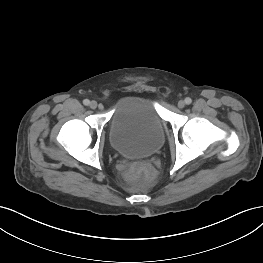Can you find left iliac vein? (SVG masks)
<instances>
[{
    "mask_svg": "<svg viewBox=\"0 0 263 263\" xmlns=\"http://www.w3.org/2000/svg\"><path fill=\"white\" fill-rule=\"evenodd\" d=\"M177 106H178V108H184L185 107V101H183V100H180L179 102H178V104H177Z\"/></svg>",
    "mask_w": 263,
    "mask_h": 263,
    "instance_id": "1",
    "label": "left iliac vein"
}]
</instances>
